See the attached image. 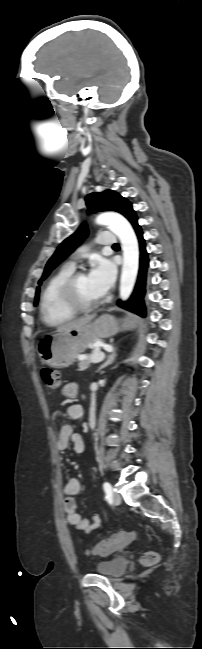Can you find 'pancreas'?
<instances>
[{
  "instance_id": "1",
  "label": "pancreas",
  "mask_w": 202,
  "mask_h": 649,
  "mask_svg": "<svg viewBox=\"0 0 202 649\" xmlns=\"http://www.w3.org/2000/svg\"><path fill=\"white\" fill-rule=\"evenodd\" d=\"M93 352L94 353H103L100 350H97L95 348L93 349ZM90 364H91V356H89L88 358H86V359L79 362V364H78L79 369L78 370L83 371V370L87 369L90 366Z\"/></svg>"
}]
</instances>
